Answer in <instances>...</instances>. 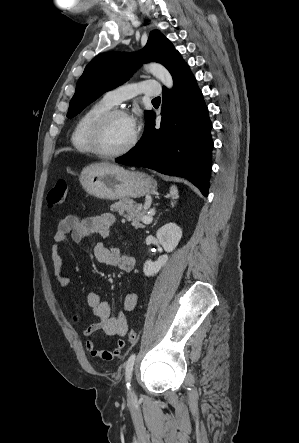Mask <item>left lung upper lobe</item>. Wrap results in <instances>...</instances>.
I'll return each mask as SVG.
<instances>
[{
	"instance_id": "left-lung-upper-lobe-1",
	"label": "left lung upper lobe",
	"mask_w": 299,
	"mask_h": 443,
	"mask_svg": "<svg viewBox=\"0 0 299 443\" xmlns=\"http://www.w3.org/2000/svg\"><path fill=\"white\" fill-rule=\"evenodd\" d=\"M141 61L163 64L173 79L187 67L173 44L159 31H153L139 53L107 52L93 58L77 82L67 117L73 118L106 91L126 82ZM151 113L145 111V119Z\"/></svg>"
}]
</instances>
